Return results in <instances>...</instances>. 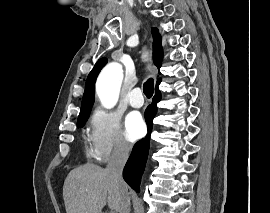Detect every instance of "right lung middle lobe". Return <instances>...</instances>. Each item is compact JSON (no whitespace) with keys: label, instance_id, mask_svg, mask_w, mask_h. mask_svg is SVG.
Segmentation results:
<instances>
[{"label":"right lung middle lobe","instance_id":"right-lung-middle-lobe-1","mask_svg":"<svg viewBox=\"0 0 270 213\" xmlns=\"http://www.w3.org/2000/svg\"><path fill=\"white\" fill-rule=\"evenodd\" d=\"M88 116H89V113L79 115L78 121H77V127H82L87 121Z\"/></svg>","mask_w":270,"mask_h":213}]
</instances>
